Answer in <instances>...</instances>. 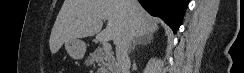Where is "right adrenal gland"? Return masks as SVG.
Segmentation results:
<instances>
[{"label":"right adrenal gland","mask_w":244,"mask_h":73,"mask_svg":"<svg viewBox=\"0 0 244 73\" xmlns=\"http://www.w3.org/2000/svg\"><path fill=\"white\" fill-rule=\"evenodd\" d=\"M152 41V34L135 37V39L132 41V44L130 45L129 51H132L137 45H147L150 44Z\"/></svg>","instance_id":"obj_1"}]
</instances>
